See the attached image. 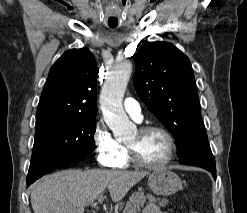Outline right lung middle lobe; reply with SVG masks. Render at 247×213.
I'll use <instances>...</instances> for the list:
<instances>
[{
	"label": "right lung middle lobe",
	"instance_id": "dd1d6c3e",
	"mask_svg": "<svg viewBox=\"0 0 247 213\" xmlns=\"http://www.w3.org/2000/svg\"><path fill=\"white\" fill-rule=\"evenodd\" d=\"M96 116L36 117L29 176L43 174L55 162H76L95 150Z\"/></svg>",
	"mask_w": 247,
	"mask_h": 213
}]
</instances>
